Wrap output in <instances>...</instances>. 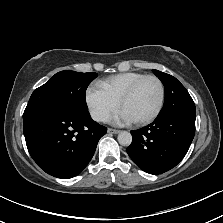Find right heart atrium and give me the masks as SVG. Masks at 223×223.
<instances>
[{
	"mask_svg": "<svg viewBox=\"0 0 223 223\" xmlns=\"http://www.w3.org/2000/svg\"><path fill=\"white\" fill-rule=\"evenodd\" d=\"M84 97L89 113L96 121H105L119 106V99L114 98L100 81L89 84Z\"/></svg>",
	"mask_w": 223,
	"mask_h": 223,
	"instance_id": "obj_1",
	"label": "right heart atrium"
}]
</instances>
